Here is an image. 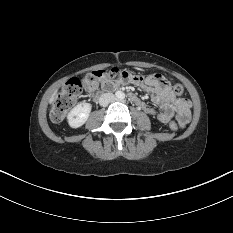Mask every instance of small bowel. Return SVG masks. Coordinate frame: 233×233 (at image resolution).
Here are the masks:
<instances>
[{
  "instance_id": "c3829d8e",
  "label": "small bowel",
  "mask_w": 233,
  "mask_h": 233,
  "mask_svg": "<svg viewBox=\"0 0 233 233\" xmlns=\"http://www.w3.org/2000/svg\"><path fill=\"white\" fill-rule=\"evenodd\" d=\"M119 83H133L152 95L154 102L161 108L157 111L154 107L146 106L141 101L140 106L144 112L150 116L156 117L161 123H168L176 115L177 122L184 127L191 117V102L185 98H177L171 91L167 80L160 78V75H153L144 80L142 74L134 76L127 70H122L116 75Z\"/></svg>"
}]
</instances>
